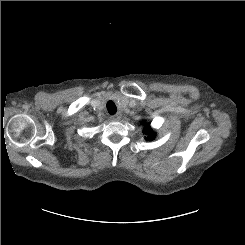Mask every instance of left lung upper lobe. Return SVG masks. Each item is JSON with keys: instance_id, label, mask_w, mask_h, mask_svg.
<instances>
[{"instance_id": "1", "label": "left lung upper lobe", "mask_w": 245, "mask_h": 245, "mask_svg": "<svg viewBox=\"0 0 245 245\" xmlns=\"http://www.w3.org/2000/svg\"><path fill=\"white\" fill-rule=\"evenodd\" d=\"M145 123L146 122L143 121V124H145ZM144 133L148 134V138H146V139L152 140L154 138V133H152V130H151L149 124H145Z\"/></svg>"}]
</instances>
